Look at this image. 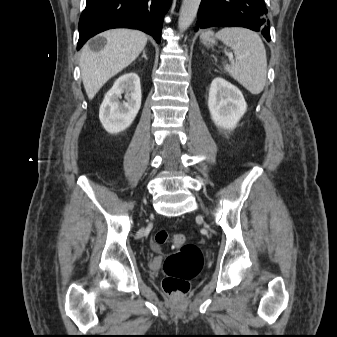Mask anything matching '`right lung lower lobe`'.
<instances>
[{"label":"right lung lower lobe","instance_id":"obj_1","mask_svg":"<svg viewBox=\"0 0 337 337\" xmlns=\"http://www.w3.org/2000/svg\"><path fill=\"white\" fill-rule=\"evenodd\" d=\"M171 0H87L79 21L77 50L92 36L111 28L144 31L160 43L162 23Z\"/></svg>","mask_w":337,"mask_h":337}]
</instances>
